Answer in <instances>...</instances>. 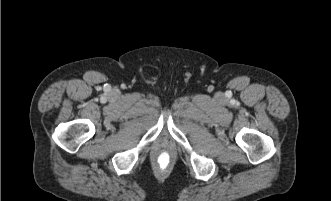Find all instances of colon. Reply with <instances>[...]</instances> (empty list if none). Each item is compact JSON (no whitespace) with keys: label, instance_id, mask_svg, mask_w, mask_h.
Masks as SVG:
<instances>
[{"label":"colon","instance_id":"1","mask_svg":"<svg viewBox=\"0 0 331 201\" xmlns=\"http://www.w3.org/2000/svg\"><path fill=\"white\" fill-rule=\"evenodd\" d=\"M173 164L174 160L171 154L166 150L159 152L155 157L156 168L160 171H168L173 167Z\"/></svg>","mask_w":331,"mask_h":201}]
</instances>
